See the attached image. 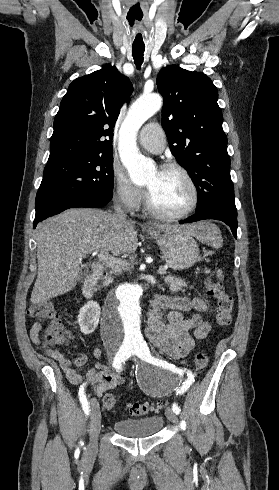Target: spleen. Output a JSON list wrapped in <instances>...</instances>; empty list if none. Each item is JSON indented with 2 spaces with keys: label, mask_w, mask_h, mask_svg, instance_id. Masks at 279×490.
I'll use <instances>...</instances> for the list:
<instances>
[{
  "label": "spleen",
  "mask_w": 279,
  "mask_h": 490,
  "mask_svg": "<svg viewBox=\"0 0 279 490\" xmlns=\"http://www.w3.org/2000/svg\"><path fill=\"white\" fill-rule=\"evenodd\" d=\"M198 240L207 244V246H212V248H222V236L219 228L211 222H205V230ZM218 276H222V270H218Z\"/></svg>",
  "instance_id": "1"
}]
</instances>
